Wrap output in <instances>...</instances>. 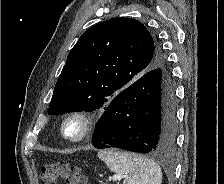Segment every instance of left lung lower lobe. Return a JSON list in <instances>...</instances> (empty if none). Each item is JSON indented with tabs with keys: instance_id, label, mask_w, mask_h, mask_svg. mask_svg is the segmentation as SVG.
Here are the masks:
<instances>
[{
	"instance_id": "left-lung-lower-lobe-1",
	"label": "left lung lower lobe",
	"mask_w": 224,
	"mask_h": 184,
	"mask_svg": "<svg viewBox=\"0 0 224 184\" xmlns=\"http://www.w3.org/2000/svg\"><path fill=\"white\" fill-rule=\"evenodd\" d=\"M167 68H155L122 90L96 124L92 145L139 153H167L175 144L174 85Z\"/></svg>"
}]
</instances>
